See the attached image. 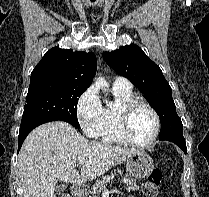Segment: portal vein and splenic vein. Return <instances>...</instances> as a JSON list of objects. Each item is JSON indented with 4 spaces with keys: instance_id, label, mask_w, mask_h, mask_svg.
<instances>
[{
    "instance_id": "obj_1",
    "label": "portal vein and splenic vein",
    "mask_w": 209,
    "mask_h": 197,
    "mask_svg": "<svg viewBox=\"0 0 209 197\" xmlns=\"http://www.w3.org/2000/svg\"><path fill=\"white\" fill-rule=\"evenodd\" d=\"M85 163V159H80L79 160V166H82ZM105 192H108L106 188H104Z\"/></svg>"
}]
</instances>
